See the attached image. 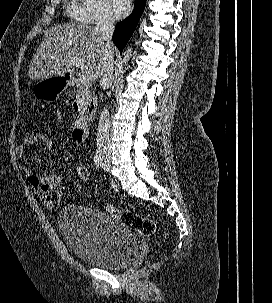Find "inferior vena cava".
I'll return each mask as SVG.
<instances>
[{
    "instance_id": "inferior-vena-cava-1",
    "label": "inferior vena cava",
    "mask_w": 272,
    "mask_h": 303,
    "mask_svg": "<svg viewBox=\"0 0 272 303\" xmlns=\"http://www.w3.org/2000/svg\"><path fill=\"white\" fill-rule=\"evenodd\" d=\"M114 21L113 18L108 14H103L97 22L96 29L100 34L102 41L105 45V56L106 61L103 67V72L100 79V84L103 90L109 89L112 85L113 80V64L114 57L111 51L112 46V35L114 32ZM110 122H109V111L104 107L100 115V120L97 129V148L99 152V157L104 160H110L111 150H110Z\"/></svg>"
}]
</instances>
